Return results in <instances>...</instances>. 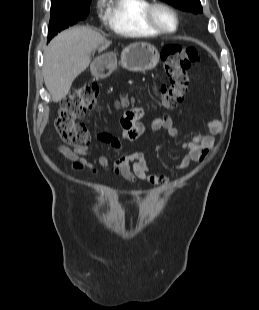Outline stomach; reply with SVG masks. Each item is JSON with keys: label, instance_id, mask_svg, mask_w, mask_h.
<instances>
[{"label": "stomach", "instance_id": "1", "mask_svg": "<svg viewBox=\"0 0 259 310\" xmlns=\"http://www.w3.org/2000/svg\"><path fill=\"white\" fill-rule=\"evenodd\" d=\"M160 59L158 50L149 43H134L121 53V65L132 72H145L156 67ZM115 54L107 53L98 57L91 65L92 73L99 78L107 77L116 68Z\"/></svg>", "mask_w": 259, "mask_h": 310}]
</instances>
